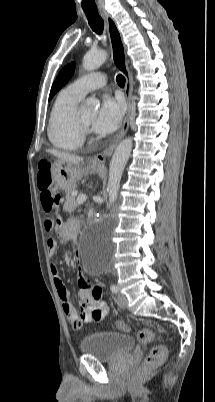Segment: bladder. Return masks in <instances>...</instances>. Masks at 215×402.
Masks as SVG:
<instances>
[{"label": "bladder", "instance_id": "1", "mask_svg": "<svg viewBox=\"0 0 215 402\" xmlns=\"http://www.w3.org/2000/svg\"><path fill=\"white\" fill-rule=\"evenodd\" d=\"M135 340L127 334L115 332H96L86 336L80 343L84 354L103 362H113L131 352Z\"/></svg>", "mask_w": 215, "mask_h": 402}]
</instances>
